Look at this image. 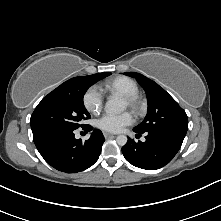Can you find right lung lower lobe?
<instances>
[{
  "mask_svg": "<svg viewBox=\"0 0 221 221\" xmlns=\"http://www.w3.org/2000/svg\"><path fill=\"white\" fill-rule=\"evenodd\" d=\"M84 130L93 127L84 125ZM76 129L48 127L33 131L34 143L44 160L65 173H77L91 167L99 158L105 141L102 132L94 129L85 142L74 137Z\"/></svg>",
  "mask_w": 221,
  "mask_h": 221,
  "instance_id": "1",
  "label": "right lung lower lobe"
}]
</instances>
